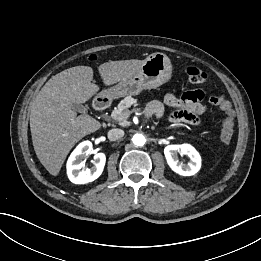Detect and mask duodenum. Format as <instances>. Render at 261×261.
Instances as JSON below:
<instances>
[{
	"instance_id": "duodenum-1",
	"label": "duodenum",
	"mask_w": 261,
	"mask_h": 261,
	"mask_svg": "<svg viewBox=\"0 0 261 261\" xmlns=\"http://www.w3.org/2000/svg\"><path fill=\"white\" fill-rule=\"evenodd\" d=\"M110 104L111 101L106 96L97 97L93 103L94 108L99 111L107 109L110 106Z\"/></svg>"
}]
</instances>
